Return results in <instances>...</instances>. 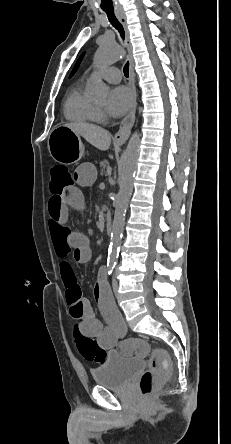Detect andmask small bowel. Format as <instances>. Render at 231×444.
Listing matches in <instances>:
<instances>
[{
    "mask_svg": "<svg viewBox=\"0 0 231 444\" xmlns=\"http://www.w3.org/2000/svg\"><path fill=\"white\" fill-rule=\"evenodd\" d=\"M97 172L93 164H80L72 175L73 181L87 187L96 180ZM69 208L84 213L87 208L86 198L78 187L69 188L60 198L51 197L48 204L49 232L56 254L60 257V275L66 289V300L71 317L77 320L79 330L85 336L95 339L103 349H112L125 332L126 326L116 308L110 288L105 281V271L101 270L94 287V296L100 309L107 315L104 325L95 316L90 302L81 296L70 261L86 264L92 257L89 240L82 232L73 230L67 224Z\"/></svg>",
    "mask_w": 231,
    "mask_h": 444,
    "instance_id": "c3829d8e",
    "label": "small bowel"
}]
</instances>
